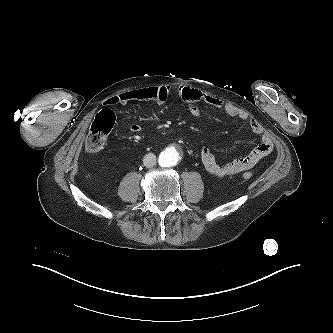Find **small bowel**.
I'll return each mask as SVG.
<instances>
[{
  "mask_svg": "<svg viewBox=\"0 0 333 333\" xmlns=\"http://www.w3.org/2000/svg\"><path fill=\"white\" fill-rule=\"evenodd\" d=\"M171 92L172 90L169 86L145 87L112 96L105 101V104L107 106H115L119 104H127L131 101L164 103L171 95ZM178 95L189 105L192 114L196 115L199 112L196 104L198 102H204L223 111L230 117L240 119L247 123L251 131L261 138L260 144H258L248 155L237 158L226 164H219L211 150L208 147H203L200 152V158L205 170L211 175L222 178L247 171L272 152V139L265 132L262 125L247 111L239 109L230 103L224 102L208 93L189 86H180L178 89ZM129 130L133 133H138L141 131V126L133 123L129 126Z\"/></svg>",
  "mask_w": 333,
  "mask_h": 333,
  "instance_id": "obj_1",
  "label": "small bowel"
}]
</instances>
